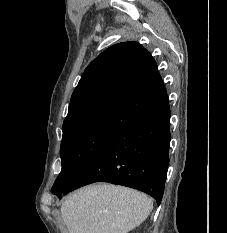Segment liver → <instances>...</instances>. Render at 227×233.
Masks as SVG:
<instances>
[{
  "label": "liver",
  "mask_w": 227,
  "mask_h": 233,
  "mask_svg": "<svg viewBox=\"0 0 227 233\" xmlns=\"http://www.w3.org/2000/svg\"><path fill=\"white\" fill-rule=\"evenodd\" d=\"M152 201L136 190L97 184L68 196L61 214L69 233H128L149 216Z\"/></svg>",
  "instance_id": "1"
}]
</instances>
